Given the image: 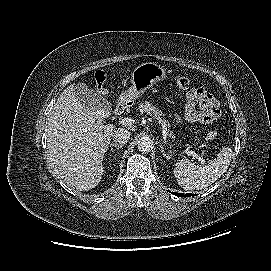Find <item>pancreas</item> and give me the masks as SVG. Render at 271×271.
<instances>
[{"instance_id": "cf45deb5", "label": "pancreas", "mask_w": 271, "mask_h": 271, "mask_svg": "<svg viewBox=\"0 0 271 271\" xmlns=\"http://www.w3.org/2000/svg\"><path fill=\"white\" fill-rule=\"evenodd\" d=\"M138 109L141 113H147L149 115H152L162 125V127L167 132V127H169L170 124L167 120L162 118V116H164V114L158 107L153 106L151 103L145 101L138 106ZM170 135H171V133H170Z\"/></svg>"}]
</instances>
